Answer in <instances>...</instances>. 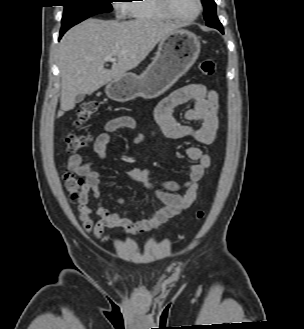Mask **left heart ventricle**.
Here are the masks:
<instances>
[{
    "instance_id": "b2bd125f",
    "label": "left heart ventricle",
    "mask_w": 304,
    "mask_h": 329,
    "mask_svg": "<svg viewBox=\"0 0 304 329\" xmlns=\"http://www.w3.org/2000/svg\"><path fill=\"white\" fill-rule=\"evenodd\" d=\"M172 10L184 17H191L198 10L197 0H170Z\"/></svg>"
}]
</instances>
